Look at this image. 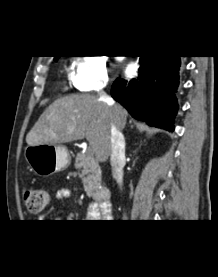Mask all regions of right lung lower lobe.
Returning a JSON list of instances; mask_svg holds the SVG:
<instances>
[{
    "mask_svg": "<svg viewBox=\"0 0 218 277\" xmlns=\"http://www.w3.org/2000/svg\"><path fill=\"white\" fill-rule=\"evenodd\" d=\"M139 62V76L130 81L118 78L112 85L111 95L134 118L172 131L178 110L175 92L180 56H140Z\"/></svg>",
    "mask_w": 218,
    "mask_h": 277,
    "instance_id": "1",
    "label": "right lung lower lobe"
}]
</instances>
